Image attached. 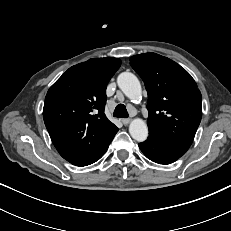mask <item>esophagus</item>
I'll return each mask as SVG.
<instances>
[{
	"label": "esophagus",
	"instance_id": "obj_1",
	"mask_svg": "<svg viewBox=\"0 0 231 231\" xmlns=\"http://www.w3.org/2000/svg\"><path fill=\"white\" fill-rule=\"evenodd\" d=\"M121 121L124 125H128L130 123L131 119L127 118V119H122Z\"/></svg>",
	"mask_w": 231,
	"mask_h": 231
}]
</instances>
